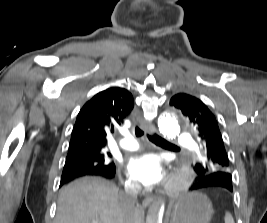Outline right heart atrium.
<instances>
[{
  "label": "right heart atrium",
  "mask_w": 267,
  "mask_h": 223,
  "mask_svg": "<svg viewBox=\"0 0 267 223\" xmlns=\"http://www.w3.org/2000/svg\"><path fill=\"white\" fill-rule=\"evenodd\" d=\"M125 186L129 189V190H132V191H135L137 189V184L136 182L130 178V177H127L126 180H125Z\"/></svg>",
  "instance_id": "1"
}]
</instances>
